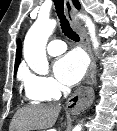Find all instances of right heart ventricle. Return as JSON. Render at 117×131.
Listing matches in <instances>:
<instances>
[{
	"instance_id": "obj_1",
	"label": "right heart ventricle",
	"mask_w": 117,
	"mask_h": 131,
	"mask_svg": "<svg viewBox=\"0 0 117 131\" xmlns=\"http://www.w3.org/2000/svg\"><path fill=\"white\" fill-rule=\"evenodd\" d=\"M25 95H26V98L33 103H40L45 100L44 98L37 95L36 93L28 91L26 88H25Z\"/></svg>"
}]
</instances>
